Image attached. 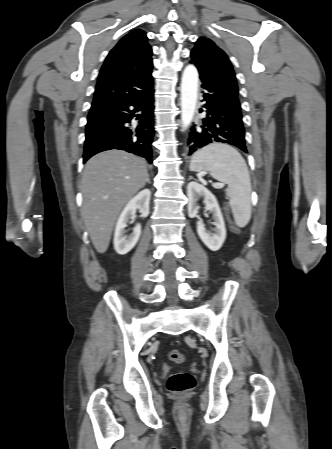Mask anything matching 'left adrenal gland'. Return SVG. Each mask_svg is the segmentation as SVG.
Wrapping results in <instances>:
<instances>
[{"instance_id":"a2214340","label":"left adrenal gland","mask_w":332,"mask_h":449,"mask_svg":"<svg viewBox=\"0 0 332 449\" xmlns=\"http://www.w3.org/2000/svg\"><path fill=\"white\" fill-rule=\"evenodd\" d=\"M190 179H193V177H192V176H190V177H189V180H190Z\"/></svg>"}]
</instances>
